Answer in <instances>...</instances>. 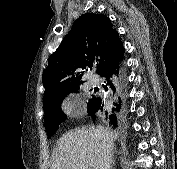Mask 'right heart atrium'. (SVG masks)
<instances>
[{
    "mask_svg": "<svg viewBox=\"0 0 177 169\" xmlns=\"http://www.w3.org/2000/svg\"><path fill=\"white\" fill-rule=\"evenodd\" d=\"M62 108H63V110H64L66 113L69 114V113H71L72 110H73V104H72L71 101L66 100V101H64L63 104H62Z\"/></svg>",
    "mask_w": 177,
    "mask_h": 169,
    "instance_id": "d8ad5b80",
    "label": "right heart atrium"
}]
</instances>
